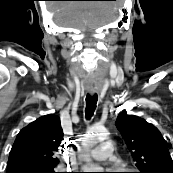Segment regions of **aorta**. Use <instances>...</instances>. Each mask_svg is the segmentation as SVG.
I'll list each match as a JSON object with an SVG mask.
<instances>
[{"instance_id": "aorta-1", "label": "aorta", "mask_w": 173, "mask_h": 173, "mask_svg": "<svg viewBox=\"0 0 173 173\" xmlns=\"http://www.w3.org/2000/svg\"><path fill=\"white\" fill-rule=\"evenodd\" d=\"M107 134L108 133H107V130L105 128H102V127H94L86 135V137H85V144L87 146H93L97 142L105 139L106 136H107ZM87 162H88V169L87 170H91L89 172H101L100 171L101 170L100 167L91 164L89 162V160Z\"/></svg>"}]
</instances>
